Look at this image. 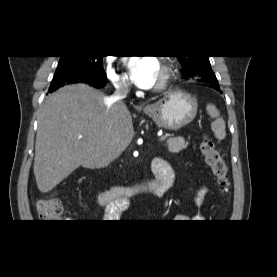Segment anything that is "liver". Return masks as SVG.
<instances>
[{"label": "liver", "instance_id": "1", "mask_svg": "<svg viewBox=\"0 0 277 277\" xmlns=\"http://www.w3.org/2000/svg\"><path fill=\"white\" fill-rule=\"evenodd\" d=\"M105 95L87 84L66 85L40 109L34 175L42 193L55 188L80 166L102 168L115 160L134 136L123 103L106 106Z\"/></svg>", "mask_w": 277, "mask_h": 277}]
</instances>
